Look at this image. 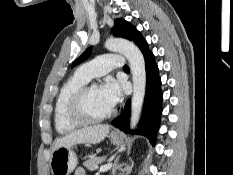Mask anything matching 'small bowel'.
I'll use <instances>...</instances> for the list:
<instances>
[{"label":"small bowel","mask_w":233,"mask_h":175,"mask_svg":"<svg viewBox=\"0 0 233 175\" xmlns=\"http://www.w3.org/2000/svg\"><path fill=\"white\" fill-rule=\"evenodd\" d=\"M73 175H86V172L83 168H77Z\"/></svg>","instance_id":"obj_1"}]
</instances>
